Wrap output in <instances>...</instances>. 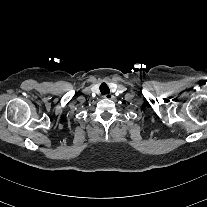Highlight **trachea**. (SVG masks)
<instances>
[{
	"label": "trachea",
	"instance_id": "1",
	"mask_svg": "<svg viewBox=\"0 0 207 207\" xmlns=\"http://www.w3.org/2000/svg\"><path fill=\"white\" fill-rule=\"evenodd\" d=\"M100 92H101L102 94H107V93L110 92V89H109V87H108V85H107L106 83H102V84L100 85Z\"/></svg>",
	"mask_w": 207,
	"mask_h": 207
}]
</instances>
